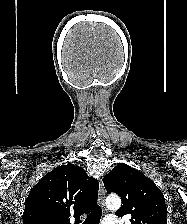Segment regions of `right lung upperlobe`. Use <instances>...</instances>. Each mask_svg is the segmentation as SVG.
Wrapping results in <instances>:
<instances>
[{"mask_svg": "<svg viewBox=\"0 0 187 224\" xmlns=\"http://www.w3.org/2000/svg\"><path fill=\"white\" fill-rule=\"evenodd\" d=\"M99 183L73 164L62 165L46 174L30 191L23 224H75L95 205Z\"/></svg>", "mask_w": 187, "mask_h": 224, "instance_id": "right-lung-upper-lobe-1", "label": "right lung upper lobe"}]
</instances>
